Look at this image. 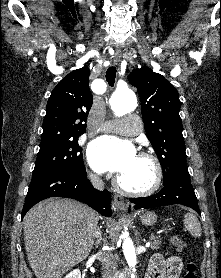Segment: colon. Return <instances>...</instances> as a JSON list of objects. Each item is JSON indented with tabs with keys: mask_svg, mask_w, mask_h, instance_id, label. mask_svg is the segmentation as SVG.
<instances>
[{
	"mask_svg": "<svg viewBox=\"0 0 221 278\" xmlns=\"http://www.w3.org/2000/svg\"><path fill=\"white\" fill-rule=\"evenodd\" d=\"M173 246L180 252L184 251L186 248L185 243L178 236L172 237ZM183 278H198L197 277V267L194 262H189L186 266V271Z\"/></svg>",
	"mask_w": 221,
	"mask_h": 278,
	"instance_id": "5ec220e1",
	"label": "colon"
}]
</instances>
